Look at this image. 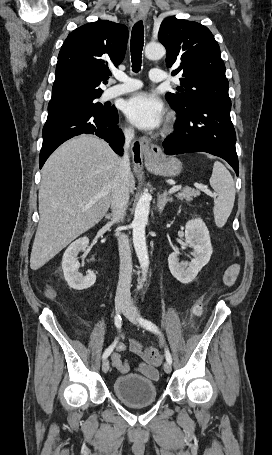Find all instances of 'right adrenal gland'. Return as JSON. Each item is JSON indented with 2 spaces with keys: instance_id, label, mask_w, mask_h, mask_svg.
Instances as JSON below:
<instances>
[{
  "instance_id": "2a0ac1e0",
  "label": "right adrenal gland",
  "mask_w": 272,
  "mask_h": 455,
  "mask_svg": "<svg viewBox=\"0 0 272 455\" xmlns=\"http://www.w3.org/2000/svg\"><path fill=\"white\" fill-rule=\"evenodd\" d=\"M105 217H106V219L110 220L111 215H110V214H107V215H105Z\"/></svg>"
}]
</instances>
